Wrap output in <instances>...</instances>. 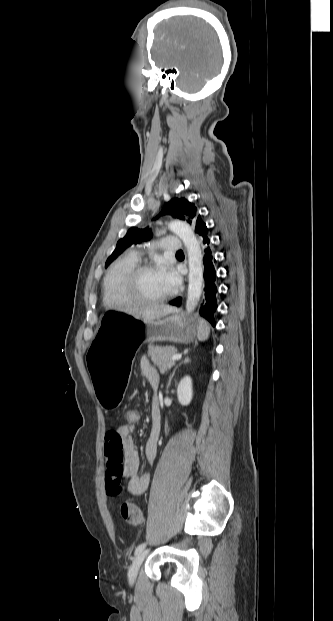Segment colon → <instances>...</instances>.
<instances>
[{
  "label": "colon",
  "mask_w": 333,
  "mask_h": 621,
  "mask_svg": "<svg viewBox=\"0 0 333 621\" xmlns=\"http://www.w3.org/2000/svg\"><path fill=\"white\" fill-rule=\"evenodd\" d=\"M126 423L136 425L141 418L140 412L135 407H128L125 410ZM121 515L130 525L137 526L142 523L143 514L139 507L131 502H125L120 508Z\"/></svg>",
  "instance_id": "obj_1"
}]
</instances>
